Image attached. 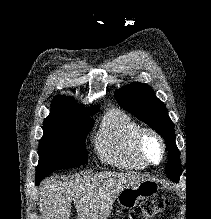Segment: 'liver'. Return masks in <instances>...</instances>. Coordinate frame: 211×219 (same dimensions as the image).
<instances>
[{"label":"liver","instance_id":"1","mask_svg":"<svg viewBox=\"0 0 211 219\" xmlns=\"http://www.w3.org/2000/svg\"><path fill=\"white\" fill-rule=\"evenodd\" d=\"M143 181L137 175L115 172L46 179L39 192L41 219H69L72 201L78 219H107L117 195Z\"/></svg>","mask_w":211,"mask_h":219}]
</instances>
